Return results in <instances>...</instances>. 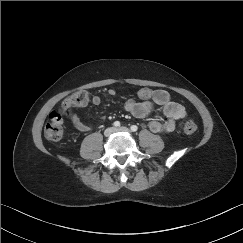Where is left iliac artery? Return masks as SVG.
I'll return each mask as SVG.
<instances>
[{"label":"left iliac artery","instance_id":"left-iliac-artery-1","mask_svg":"<svg viewBox=\"0 0 243 243\" xmlns=\"http://www.w3.org/2000/svg\"><path fill=\"white\" fill-rule=\"evenodd\" d=\"M138 130V127L136 125L131 126V131L136 132Z\"/></svg>","mask_w":243,"mask_h":243}]
</instances>
